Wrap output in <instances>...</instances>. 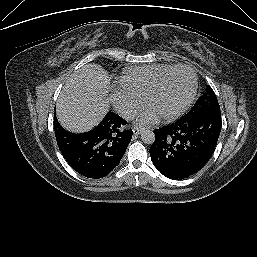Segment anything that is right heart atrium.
<instances>
[{"label":"right heart atrium","mask_w":257,"mask_h":257,"mask_svg":"<svg viewBox=\"0 0 257 257\" xmlns=\"http://www.w3.org/2000/svg\"><path fill=\"white\" fill-rule=\"evenodd\" d=\"M113 106L124 118L133 117L143 106L144 100L123 89L116 91L111 97Z\"/></svg>","instance_id":"1"}]
</instances>
